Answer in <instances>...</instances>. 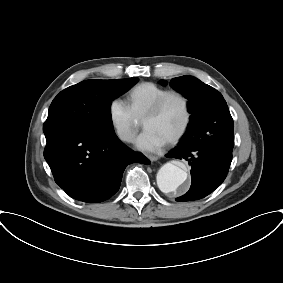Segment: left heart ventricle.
Instances as JSON below:
<instances>
[{"label": "left heart ventricle", "mask_w": 283, "mask_h": 283, "mask_svg": "<svg viewBox=\"0 0 283 283\" xmlns=\"http://www.w3.org/2000/svg\"><path fill=\"white\" fill-rule=\"evenodd\" d=\"M184 119L183 103L179 98L173 97L157 116L145 122L144 127L156 132L167 141L179 131Z\"/></svg>", "instance_id": "obj_1"}]
</instances>
